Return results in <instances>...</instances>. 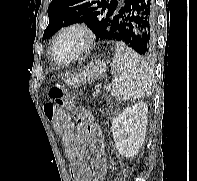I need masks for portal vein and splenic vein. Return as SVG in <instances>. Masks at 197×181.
<instances>
[{"instance_id":"portal-vein-and-splenic-vein-1","label":"portal vein and splenic vein","mask_w":197,"mask_h":181,"mask_svg":"<svg viewBox=\"0 0 197 181\" xmlns=\"http://www.w3.org/2000/svg\"><path fill=\"white\" fill-rule=\"evenodd\" d=\"M107 89L109 90L110 89V86H108Z\"/></svg>"}]
</instances>
